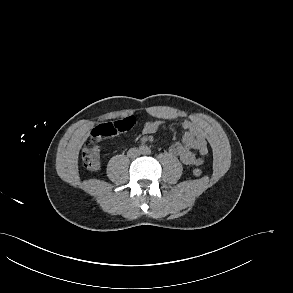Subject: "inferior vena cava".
<instances>
[{
    "label": "inferior vena cava",
    "instance_id": "1",
    "mask_svg": "<svg viewBox=\"0 0 293 293\" xmlns=\"http://www.w3.org/2000/svg\"><path fill=\"white\" fill-rule=\"evenodd\" d=\"M139 151L135 148H132L129 152H128V156L131 158H135L137 156H139Z\"/></svg>",
    "mask_w": 293,
    "mask_h": 293
}]
</instances>
